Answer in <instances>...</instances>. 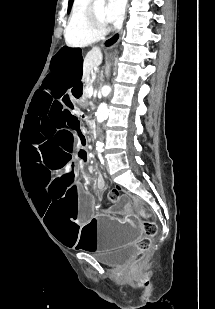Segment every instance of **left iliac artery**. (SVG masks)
<instances>
[{"label": "left iliac artery", "instance_id": "44dca946", "mask_svg": "<svg viewBox=\"0 0 215 309\" xmlns=\"http://www.w3.org/2000/svg\"><path fill=\"white\" fill-rule=\"evenodd\" d=\"M99 159H100L101 164L104 165V163H105L104 158L100 154H99Z\"/></svg>", "mask_w": 215, "mask_h": 309}]
</instances>
